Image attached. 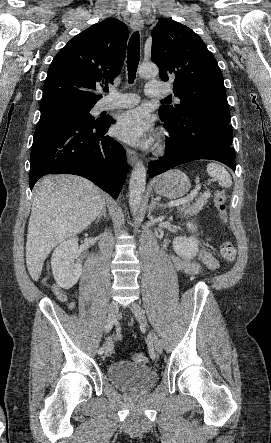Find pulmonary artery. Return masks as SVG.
<instances>
[{
  "label": "pulmonary artery",
  "instance_id": "e3ab8cb5",
  "mask_svg": "<svg viewBox=\"0 0 271 443\" xmlns=\"http://www.w3.org/2000/svg\"><path fill=\"white\" fill-rule=\"evenodd\" d=\"M145 92L149 96H163L168 92L166 91H154L151 89V84L148 83L145 87ZM177 102L180 100L178 98L175 99ZM140 102V98L137 94L134 93H120L116 90H110V92L101 98L95 106L96 111H104V110H114V109H122L129 108L137 105Z\"/></svg>",
  "mask_w": 271,
  "mask_h": 443
}]
</instances>
